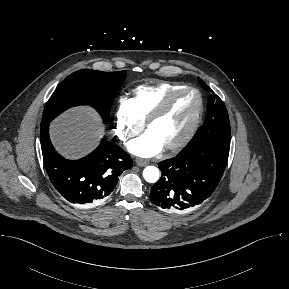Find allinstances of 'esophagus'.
Returning <instances> with one entry per match:
<instances>
[{
    "mask_svg": "<svg viewBox=\"0 0 289 289\" xmlns=\"http://www.w3.org/2000/svg\"><path fill=\"white\" fill-rule=\"evenodd\" d=\"M136 164L138 166L143 167V166H146L148 164V162L146 160H143V159H136Z\"/></svg>",
    "mask_w": 289,
    "mask_h": 289,
    "instance_id": "1",
    "label": "esophagus"
}]
</instances>
